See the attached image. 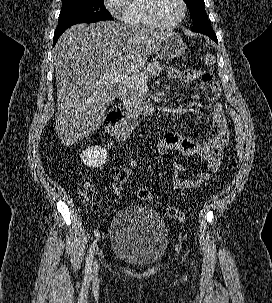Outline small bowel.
Returning <instances> with one entry per match:
<instances>
[{
	"label": "small bowel",
	"instance_id": "obj_1",
	"mask_svg": "<svg viewBox=\"0 0 272 303\" xmlns=\"http://www.w3.org/2000/svg\"><path fill=\"white\" fill-rule=\"evenodd\" d=\"M166 74L170 79L185 83L200 81L207 84L213 100L218 99L222 94L219 83L208 72L171 67ZM229 137L227 114L221 103H216L212 108L209 133L206 137L191 138L173 131L167 132L157 144V152L161 156L178 153L198 159L204 164L203 168L189 173L183 163L174 162L171 166L173 188L197 190L211 180L220 169Z\"/></svg>",
	"mask_w": 272,
	"mask_h": 303
}]
</instances>
